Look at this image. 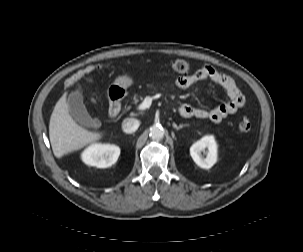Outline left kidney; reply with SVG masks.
I'll list each match as a JSON object with an SVG mask.
<instances>
[{"mask_svg": "<svg viewBox=\"0 0 303 252\" xmlns=\"http://www.w3.org/2000/svg\"><path fill=\"white\" fill-rule=\"evenodd\" d=\"M206 153V157L202 155ZM190 155L194 162L203 169L211 168L217 161V144L214 136L206 135L190 147Z\"/></svg>", "mask_w": 303, "mask_h": 252, "instance_id": "5707ae66", "label": "left kidney"}]
</instances>
